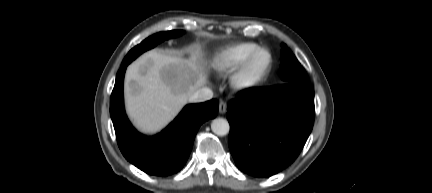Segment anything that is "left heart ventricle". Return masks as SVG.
Here are the masks:
<instances>
[{
    "mask_svg": "<svg viewBox=\"0 0 432 193\" xmlns=\"http://www.w3.org/2000/svg\"><path fill=\"white\" fill-rule=\"evenodd\" d=\"M268 63V54L263 52L260 53L254 60L251 69H250V75L256 76L263 72L266 65Z\"/></svg>",
    "mask_w": 432,
    "mask_h": 193,
    "instance_id": "1",
    "label": "left heart ventricle"
}]
</instances>
